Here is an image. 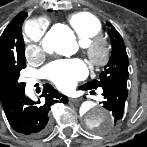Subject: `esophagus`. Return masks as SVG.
<instances>
[{
	"label": "esophagus",
	"instance_id": "1",
	"mask_svg": "<svg viewBox=\"0 0 147 147\" xmlns=\"http://www.w3.org/2000/svg\"><path fill=\"white\" fill-rule=\"evenodd\" d=\"M69 101L71 103H78L79 102V99L78 98H70Z\"/></svg>",
	"mask_w": 147,
	"mask_h": 147
}]
</instances>
